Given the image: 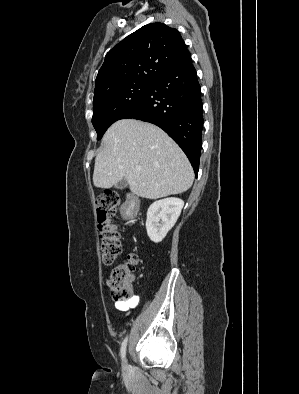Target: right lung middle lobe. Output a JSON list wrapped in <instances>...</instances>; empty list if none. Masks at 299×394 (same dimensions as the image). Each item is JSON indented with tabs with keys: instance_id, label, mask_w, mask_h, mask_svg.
Listing matches in <instances>:
<instances>
[{
	"instance_id": "obj_1",
	"label": "right lung middle lobe",
	"mask_w": 299,
	"mask_h": 394,
	"mask_svg": "<svg viewBox=\"0 0 299 394\" xmlns=\"http://www.w3.org/2000/svg\"><path fill=\"white\" fill-rule=\"evenodd\" d=\"M151 83H128L94 95L92 123L100 139L105 131L130 110Z\"/></svg>"
}]
</instances>
